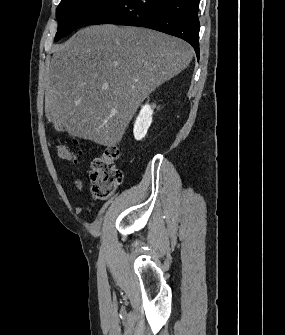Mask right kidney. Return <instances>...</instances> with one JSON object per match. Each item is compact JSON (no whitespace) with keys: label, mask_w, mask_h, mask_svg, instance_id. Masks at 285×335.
Returning a JSON list of instances; mask_svg holds the SVG:
<instances>
[{"label":"right kidney","mask_w":285,"mask_h":335,"mask_svg":"<svg viewBox=\"0 0 285 335\" xmlns=\"http://www.w3.org/2000/svg\"><path fill=\"white\" fill-rule=\"evenodd\" d=\"M153 108L154 106H149V104L142 106V110H140V114L138 118H136V122L134 124L135 140H142V138H145L147 130L150 128V124L152 122Z\"/></svg>","instance_id":"obj_1"}]
</instances>
